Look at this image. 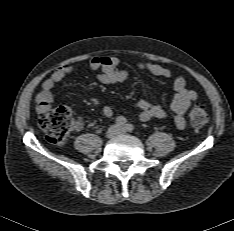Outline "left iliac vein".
Returning a JSON list of instances; mask_svg holds the SVG:
<instances>
[{
    "label": "left iliac vein",
    "mask_w": 234,
    "mask_h": 231,
    "mask_svg": "<svg viewBox=\"0 0 234 231\" xmlns=\"http://www.w3.org/2000/svg\"><path fill=\"white\" fill-rule=\"evenodd\" d=\"M120 133H121V134H124V133H125V131L122 129Z\"/></svg>",
    "instance_id": "left-iliac-vein-1"
}]
</instances>
